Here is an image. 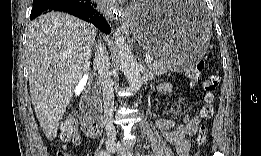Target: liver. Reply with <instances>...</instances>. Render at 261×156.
Masks as SVG:
<instances>
[{"instance_id": "liver-1", "label": "liver", "mask_w": 261, "mask_h": 156, "mask_svg": "<svg viewBox=\"0 0 261 156\" xmlns=\"http://www.w3.org/2000/svg\"><path fill=\"white\" fill-rule=\"evenodd\" d=\"M97 30L62 12H50L32 21L27 32V69L32 104L49 141L73 96L90 69Z\"/></svg>"}]
</instances>
